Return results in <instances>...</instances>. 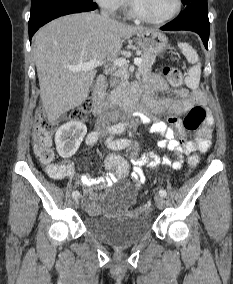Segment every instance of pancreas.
<instances>
[{"instance_id":"pancreas-1","label":"pancreas","mask_w":233,"mask_h":284,"mask_svg":"<svg viewBox=\"0 0 233 284\" xmlns=\"http://www.w3.org/2000/svg\"><path fill=\"white\" fill-rule=\"evenodd\" d=\"M142 63L138 67L139 73H147L151 71L152 65L155 63V56L150 54L141 55ZM118 76L121 81L119 85L111 92L110 99L114 104H122L129 99V83L128 74L126 71L122 70L119 72Z\"/></svg>"}]
</instances>
